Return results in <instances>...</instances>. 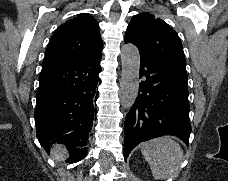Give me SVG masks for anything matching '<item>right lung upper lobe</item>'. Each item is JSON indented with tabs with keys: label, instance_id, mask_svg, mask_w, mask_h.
Listing matches in <instances>:
<instances>
[{
	"label": "right lung upper lobe",
	"instance_id": "obj_1",
	"mask_svg": "<svg viewBox=\"0 0 228 181\" xmlns=\"http://www.w3.org/2000/svg\"><path fill=\"white\" fill-rule=\"evenodd\" d=\"M103 48L97 21L79 14L55 31L45 52L42 68L101 53Z\"/></svg>",
	"mask_w": 228,
	"mask_h": 181
}]
</instances>
